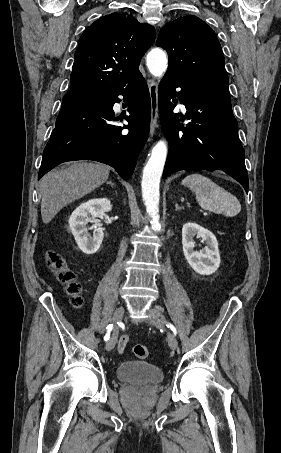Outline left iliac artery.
Here are the masks:
<instances>
[{
	"instance_id": "left-iliac-artery-1",
	"label": "left iliac artery",
	"mask_w": 281,
	"mask_h": 453,
	"mask_svg": "<svg viewBox=\"0 0 281 453\" xmlns=\"http://www.w3.org/2000/svg\"><path fill=\"white\" fill-rule=\"evenodd\" d=\"M166 326H167L168 328H170V329L174 332V334L176 335V333H177V332H176V328H175L172 324L169 323V324L166 325Z\"/></svg>"
}]
</instances>
